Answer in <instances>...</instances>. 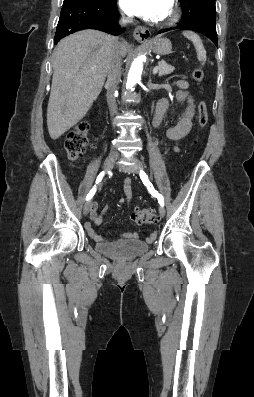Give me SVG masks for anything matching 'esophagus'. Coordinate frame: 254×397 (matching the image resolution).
Wrapping results in <instances>:
<instances>
[{
	"label": "esophagus",
	"instance_id": "34e87169",
	"mask_svg": "<svg viewBox=\"0 0 254 397\" xmlns=\"http://www.w3.org/2000/svg\"><path fill=\"white\" fill-rule=\"evenodd\" d=\"M133 35L138 42L146 43L150 39L151 32L148 28L144 26H137L134 29Z\"/></svg>",
	"mask_w": 254,
	"mask_h": 397
}]
</instances>
